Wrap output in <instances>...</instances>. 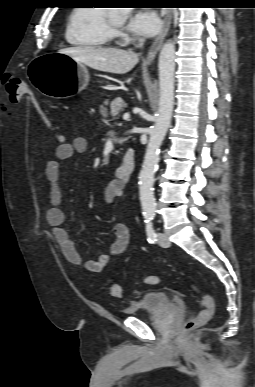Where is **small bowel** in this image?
Wrapping results in <instances>:
<instances>
[{
	"instance_id": "small-bowel-1",
	"label": "small bowel",
	"mask_w": 255,
	"mask_h": 387,
	"mask_svg": "<svg viewBox=\"0 0 255 387\" xmlns=\"http://www.w3.org/2000/svg\"><path fill=\"white\" fill-rule=\"evenodd\" d=\"M87 150V140L76 137L71 142H63L56 147L55 158L50 160L45 168V176L49 182L50 208L47 210L46 219L51 226L53 235L60 245L66 260L75 265L83 266L92 273H101L110 263L112 257L122 254L130 241V231L127 225L117 224L114 226V240L108 252L102 253L94 260H83L76 249L75 242L65 227V214L61 208L62 190L60 186L61 163L83 154ZM124 188L120 181H111L105 189V199L112 202L122 198Z\"/></svg>"
}]
</instances>
